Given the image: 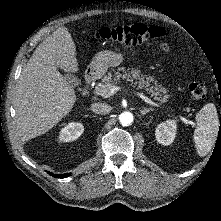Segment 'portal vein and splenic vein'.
<instances>
[{
    "label": "portal vein and splenic vein",
    "instance_id": "1",
    "mask_svg": "<svg viewBox=\"0 0 221 221\" xmlns=\"http://www.w3.org/2000/svg\"><path fill=\"white\" fill-rule=\"evenodd\" d=\"M121 89V87L119 86H115L112 85L109 90L108 93L104 96L105 98L114 95L116 92H118ZM134 94H136L139 98H141L143 101H145L147 104L151 105V106H155V107H159V104L153 102L150 98H148L147 96H145L143 93L138 92L133 90ZM182 121L184 122H188L189 124H191V121H188L187 119H185L184 117H180Z\"/></svg>",
    "mask_w": 221,
    "mask_h": 221
}]
</instances>
